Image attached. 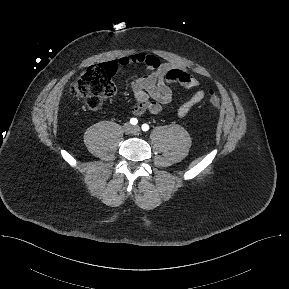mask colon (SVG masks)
I'll return each instance as SVG.
<instances>
[{"label":"colon","mask_w":289,"mask_h":289,"mask_svg":"<svg viewBox=\"0 0 289 289\" xmlns=\"http://www.w3.org/2000/svg\"><path fill=\"white\" fill-rule=\"evenodd\" d=\"M114 72L115 65L112 63L91 66L72 82L70 93L74 97L85 99L89 109L98 110L103 100L115 93V86L112 82ZM208 96L210 104L219 108L221 102L215 92L209 90Z\"/></svg>","instance_id":"obj_1"}]
</instances>
